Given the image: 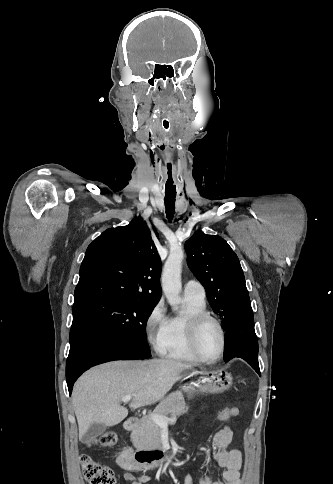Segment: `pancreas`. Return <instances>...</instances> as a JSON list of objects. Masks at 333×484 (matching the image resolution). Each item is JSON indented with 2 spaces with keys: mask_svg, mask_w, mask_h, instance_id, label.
Here are the masks:
<instances>
[{
  "mask_svg": "<svg viewBox=\"0 0 333 484\" xmlns=\"http://www.w3.org/2000/svg\"><path fill=\"white\" fill-rule=\"evenodd\" d=\"M188 411L181 392H175L164 398L152 414L179 417ZM161 427L157 425L150 415L141 419V425L131 433V440L137 449L153 450L162 447Z\"/></svg>",
  "mask_w": 333,
  "mask_h": 484,
  "instance_id": "1",
  "label": "pancreas"
}]
</instances>
